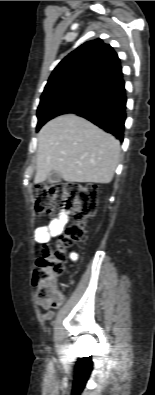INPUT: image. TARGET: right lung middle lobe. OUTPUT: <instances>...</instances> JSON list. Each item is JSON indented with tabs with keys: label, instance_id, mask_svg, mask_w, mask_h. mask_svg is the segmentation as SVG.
Instances as JSON below:
<instances>
[{
	"label": "right lung middle lobe",
	"instance_id": "dd1d6c3e",
	"mask_svg": "<svg viewBox=\"0 0 155 395\" xmlns=\"http://www.w3.org/2000/svg\"><path fill=\"white\" fill-rule=\"evenodd\" d=\"M101 87L83 81H72L46 87L37 110V130L50 119L68 113L77 105L85 102Z\"/></svg>",
	"mask_w": 155,
	"mask_h": 395
}]
</instances>
